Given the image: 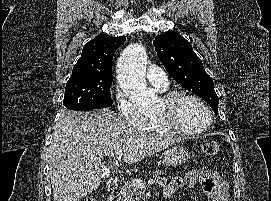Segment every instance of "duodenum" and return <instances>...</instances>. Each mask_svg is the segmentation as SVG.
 Masks as SVG:
<instances>
[{
    "label": "duodenum",
    "instance_id": "obj_1",
    "mask_svg": "<svg viewBox=\"0 0 271 201\" xmlns=\"http://www.w3.org/2000/svg\"><path fill=\"white\" fill-rule=\"evenodd\" d=\"M120 184V181L118 178H112L110 179L106 186H105V190H106V201H109L108 199V195L109 193H111L112 191H114Z\"/></svg>",
    "mask_w": 271,
    "mask_h": 201
}]
</instances>
